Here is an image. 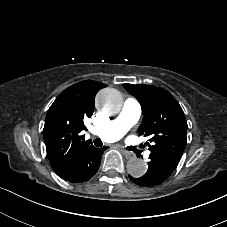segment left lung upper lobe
Instances as JSON below:
<instances>
[{
  "instance_id": "5c2ea615",
  "label": "left lung upper lobe",
  "mask_w": 227,
  "mask_h": 227,
  "mask_svg": "<svg viewBox=\"0 0 227 227\" xmlns=\"http://www.w3.org/2000/svg\"><path fill=\"white\" fill-rule=\"evenodd\" d=\"M123 87L141 104L144 118L138 132L149 136L151 154L178 165L186 146L188 128L179 103L163 88L144 84H123Z\"/></svg>"
}]
</instances>
